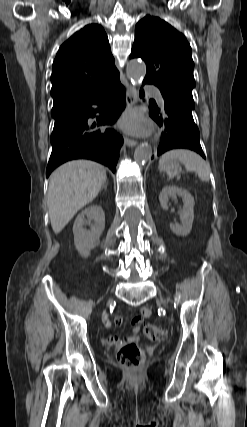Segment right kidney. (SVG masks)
<instances>
[{"label": "right kidney", "mask_w": 247, "mask_h": 427, "mask_svg": "<svg viewBox=\"0 0 247 427\" xmlns=\"http://www.w3.org/2000/svg\"><path fill=\"white\" fill-rule=\"evenodd\" d=\"M91 220L94 221L93 224H90ZM86 224L90 225V230L84 228ZM104 228L105 214L98 205L87 207L77 216L73 225L74 244L82 257H88L90 251L99 244Z\"/></svg>", "instance_id": "1"}]
</instances>
